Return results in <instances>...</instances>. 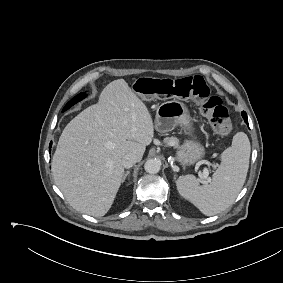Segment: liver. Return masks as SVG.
<instances>
[{"mask_svg": "<svg viewBox=\"0 0 283 283\" xmlns=\"http://www.w3.org/2000/svg\"><path fill=\"white\" fill-rule=\"evenodd\" d=\"M153 137L146 105L124 79L114 80L64 128L52 159L55 183L76 210L103 216L124 177L122 158L134 153L140 161Z\"/></svg>", "mask_w": 283, "mask_h": 283, "instance_id": "6515ba94", "label": "liver"}]
</instances>
